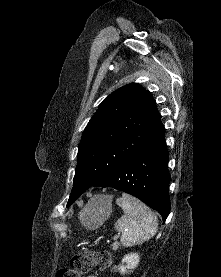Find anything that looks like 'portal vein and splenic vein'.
Instances as JSON below:
<instances>
[{
  "mask_svg": "<svg viewBox=\"0 0 221 277\" xmlns=\"http://www.w3.org/2000/svg\"><path fill=\"white\" fill-rule=\"evenodd\" d=\"M118 238H119V236H118V235H115L114 239L117 240Z\"/></svg>",
  "mask_w": 221,
  "mask_h": 277,
  "instance_id": "obj_1",
  "label": "portal vein and splenic vein"
}]
</instances>
